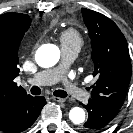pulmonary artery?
I'll use <instances>...</instances> for the list:
<instances>
[{
    "label": "pulmonary artery",
    "mask_w": 133,
    "mask_h": 133,
    "mask_svg": "<svg viewBox=\"0 0 133 133\" xmlns=\"http://www.w3.org/2000/svg\"><path fill=\"white\" fill-rule=\"evenodd\" d=\"M78 52L79 50L74 48L62 47V62L54 68L38 72L29 82L35 85H50L61 82L68 95L74 99L86 101L89 96L88 93L66 78L67 69L70 63L76 58Z\"/></svg>",
    "instance_id": "1"
}]
</instances>
